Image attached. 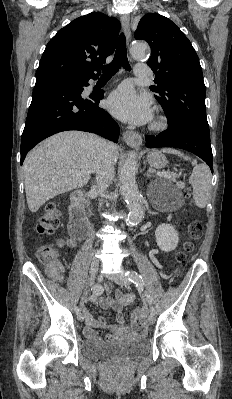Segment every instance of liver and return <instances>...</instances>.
<instances>
[{
    "label": "liver",
    "mask_w": 232,
    "mask_h": 399,
    "mask_svg": "<svg viewBox=\"0 0 232 399\" xmlns=\"http://www.w3.org/2000/svg\"><path fill=\"white\" fill-rule=\"evenodd\" d=\"M101 148V138L94 134L61 132L27 154L22 170L30 211L54 196L86 186ZM110 152L116 164L118 146L112 144Z\"/></svg>",
    "instance_id": "1"
}]
</instances>
